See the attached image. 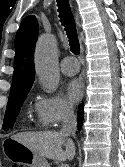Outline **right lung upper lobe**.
Here are the masks:
<instances>
[{
	"instance_id": "cb5924a9",
	"label": "right lung upper lobe",
	"mask_w": 125,
	"mask_h": 167,
	"mask_svg": "<svg viewBox=\"0 0 125 167\" xmlns=\"http://www.w3.org/2000/svg\"><path fill=\"white\" fill-rule=\"evenodd\" d=\"M38 36L35 16H27L20 24L15 37L14 73L11 94L30 90L35 78L34 49Z\"/></svg>"
}]
</instances>
